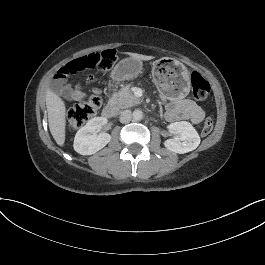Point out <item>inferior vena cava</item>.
I'll list each match as a JSON object with an SVG mask.
<instances>
[{"instance_id": "obj_1", "label": "inferior vena cava", "mask_w": 265, "mask_h": 265, "mask_svg": "<svg viewBox=\"0 0 265 265\" xmlns=\"http://www.w3.org/2000/svg\"><path fill=\"white\" fill-rule=\"evenodd\" d=\"M132 113L130 110H124L120 114V122L121 123H128L131 120Z\"/></svg>"}]
</instances>
